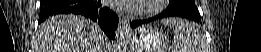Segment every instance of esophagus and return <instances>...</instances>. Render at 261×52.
<instances>
[{
	"instance_id": "34e87169",
	"label": "esophagus",
	"mask_w": 261,
	"mask_h": 52,
	"mask_svg": "<svg viewBox=\"0 0 261 52\" xmlns=\"http://www.w3.org/2000/svg\"><path fill=\"white\" fill-rule=\"evenodd\" d=\"M118 31L120 32L121 35L128 36L130 34V24H129V19L126 17H123L120 19L119 26H118Z\"/></svg>"
}]
</instances>
